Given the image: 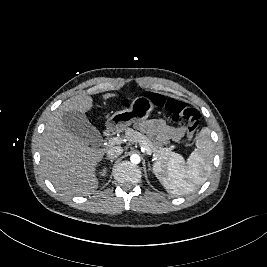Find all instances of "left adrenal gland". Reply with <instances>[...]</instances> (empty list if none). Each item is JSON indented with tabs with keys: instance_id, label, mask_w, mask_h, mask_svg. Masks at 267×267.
<instances>
[{
	"instance_id": "obj_1",
	"label": "left adrenal gland",
	"mask_w": 267,
	"mask_h": 267,
	"mask_svg": "<svg viewBox=\"0 0 267 267\" xmlns=\"http://www.w3.org/2000/svg\"><path fill=\"white\" fill-rule=\"evenodd\" d=\"M148 170H151L150 161H148Z\"/></svg>"
}]
</instances>
